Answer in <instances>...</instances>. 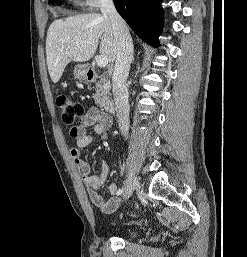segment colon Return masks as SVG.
<instances>
[{
    "mask_svg": "<svg viewBox=\"0 0 247 257\" xmlns=\"http://www.w3.org/2000/svg\"><path fill=\"white\" fill-rule=\"evenodd\" d=\"M56 103L60 109L62 121L67 125H73L77 119L82 118L84 115L83 105L69 96H58Z\"/></svg>",
    "mask_w": 247,
    "mask_h": 257,
    "instance_id": "1",
    "label": "colon"
}]
</instances>
